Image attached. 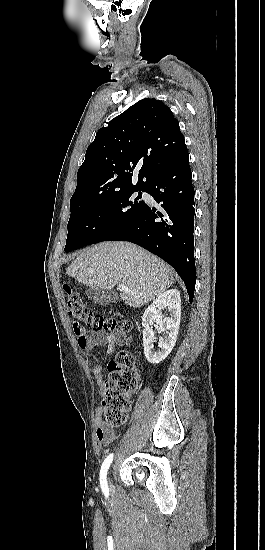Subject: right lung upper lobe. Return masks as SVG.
<instances>
[{"mask_svg":"<svg viewBox=\"0 0 265 550\" xmlns=\"http://www.w3.org/2000/svg\"><path fill=\"white\" fill-rule=\"evenodd\" d=\"M185 149L172 111L159 100L142 99L97 132L78 170L71 199L147 189Z\"/></svg>","mask_w":265,"mask_h":550,"instance_id":"1","label":"right lung upper lobe"}]
</instances>
